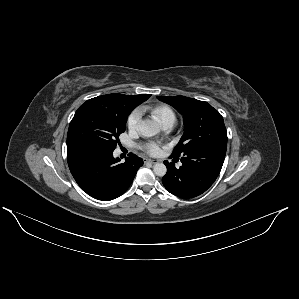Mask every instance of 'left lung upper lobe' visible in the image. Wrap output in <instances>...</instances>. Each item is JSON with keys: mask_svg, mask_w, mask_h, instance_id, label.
Listing matches in <instances>:
<instances>
[{"mask_svg": "<svg viewBox=\"0 0 299 299\" xmlns=\"http://www.w3.org/2000/svg\"><path fill=\"white\" fill-rule=\"evenodd\" d=\"M183 115L184 134L174 148L172 157L208 146H227L223 117L210 104L185 96H157Z\"/></svg>", "mask_w": 299, "mask_h": 299, "instance_id": "5c2ea615", "label": "left lung upper lobe"}]
</instances>
